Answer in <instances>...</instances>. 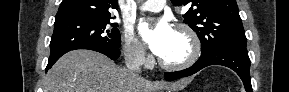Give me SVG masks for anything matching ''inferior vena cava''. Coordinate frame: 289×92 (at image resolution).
Instances as JSON below:
<instances>
[{
    "mask_svg": "<svg viewBox=\"0 0 289 92\" xmlns=\"http://www.w3.org/2000/svg\"><path fill=\"white\" fill-rule=\"evenodd\" d=\"M143 48L138 44L128 46L125 54V64L128 70L134 73H141V57Z\"/></svg>",
    "mask_w": 289,
    "mask_h": 92,
    "instance_id": "obj_1",
    "label": "inferior vena cava"
}]
</instances>
